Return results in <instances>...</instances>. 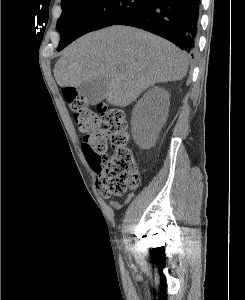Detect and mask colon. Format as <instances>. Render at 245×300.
Masks as SVG:
<instances>
[{
    "instance_id": "colon-1",
    "label": "colon",
    "mask_w": 245,
    "mask_h": 300,
    "mask_svg": "<svg viewBox=\"0 0 245 300\" xmlns=\"http://www.w3.org/2000/svg\"><path fill=\"white\" fill-rule=\"evenodd\" d=\"M64 97L83 133L82 151L98 174L97 185L106 196L122 195L139 186L141 178L135 157L128 147L129 133L122 110L101 103L98 112L75 88H66ZM108 144L112 155H106Z\"/></svg>"
}]
</instances>
